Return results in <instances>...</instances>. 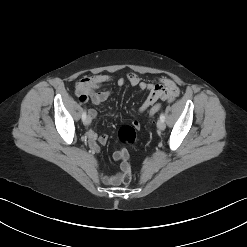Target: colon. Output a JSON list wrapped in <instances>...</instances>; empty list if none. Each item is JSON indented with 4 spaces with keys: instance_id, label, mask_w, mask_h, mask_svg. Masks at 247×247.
Listing matches in <instances>:
<instances>
[{
    "instance_id": "5ec220e1",
    "label": "colon",
    "mask_w": 247,
    "mask_h": 247,
    "mask_svg": "<svg viewBox=\"0 0 247 247\" xmlns=\"http://www.w3.org/2000/svg\"><path fill=\"white\" fill-rule=\"evenodd\" d=\"M161 109L160 103H155L152 105L150 109V116L156 115L159 110ZM139 125L135 121L131 125L123 126L119 129L118 132V138L119 140L124 143L131 146H134L136 143V130L138 129ZM121 155V167H122V176L121 181L123 184H129L132 180V174L129 164V154L125 149L120 150Z\"/></svg>"
}]
</instances>
